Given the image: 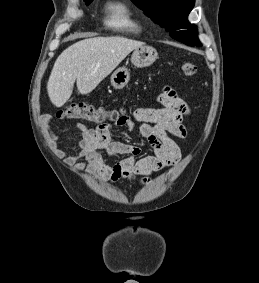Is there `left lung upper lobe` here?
<instances>
[{
	"mask_svg": "<svg viewBox=\"0 0 259 283\" xmlns=\"http://www.w3.org/2000/svg\"><path fill=\"white\" fill-rule=\"evenodd\" d=\"M170 36L190 46H201L196 26L188 22L195 0H132Z\"/></svg>",
	"mask_w": 259,
	"mask_h": 283,
	"instance_id": "left-lung-upper-lobe-1",
	"label": "left lung upper lobe"
}]
</instances>
